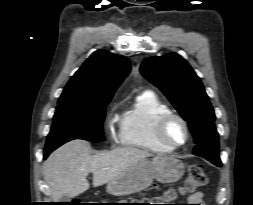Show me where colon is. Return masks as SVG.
Returning a JSON list of instances; mask_svg holds the SVG:
<instances>
[{
	"label": "colon",
	"mask_w": 253,
	"mask_h": 205,
	"mask_svg": "<svg viewBox=\"0 0 253 205\" xmlns=\"http://www.w3.org/2000/svg\"><path fill=\"white\" fill-rule=\"evenodd\" d=\"M208 182V175L201 164L191 165L188 169L187 176L183 184L176 190L166 191L162 197L154 198L152 201L168 202L174 200L178 195H192L199 188L204 187ZM73 205H83L82 203H74ZM152 205H166V204H152Z\"/></svg>",
	"instance_id": "colon-1"
}]
</instances>
